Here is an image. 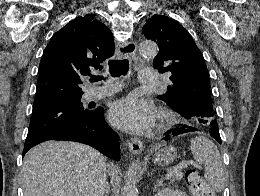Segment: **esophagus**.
<instances>
[{
    "mask_svg": "<svg viewBox=\"0 0 260 196\" xmlns=\"http://www.w3.org/2000/svg\"><path fill=\"white\" fill-rule=\"evenodd\" d=\"M136 50V43L133 41H127L119 46V55L122 58L131 57L136 53ZM128 149L131 154L139 155L144 150L143 142L136 138H131L128 140Z\"/></svg>",
    "mask_w": 260,
    "mask_h": 196,
    "instance_id": "esophagus-1",
    "label": "esophagus"
}]
</instances>
